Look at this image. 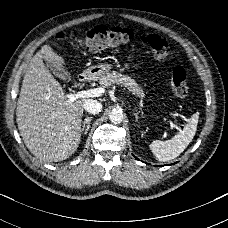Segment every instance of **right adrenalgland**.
Masks as SVG:
<instances>
[{
  "instance_id": "right-adrenal-gland-1",
  "label": "right adrenal gland",
  "mask_w": 228,
  "mask_h": 228,
  "mask_svg": "<svg viewBox=\"0 0 228 228\" xmlns=\"http://www.w3.org/2000/svg\"><path fill=\"white\" fill-rule=\"evenodd\" d=\"M92 119H93L92 116L85 118V121L83 123V128H82L81 132H83L85 134L88 133V130L90 128V122H91Z\"/></svg>"
}]
</instances>
